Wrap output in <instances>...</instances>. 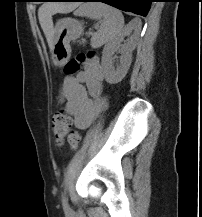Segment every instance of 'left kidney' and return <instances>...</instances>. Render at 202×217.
I'll return each mask as SVG.
<instances>
[{
	"label": "left kidney",
	"mask_w": 202,
	"mask_h": 217,
	"mask_svg": "<svg viewBox=\"0 0 202 217\" xmlns=\"http://www.w3.org/2000/svg\"><path fill=\"white\" fill-rule=\"evenodd\" d=\"M132 30H135V35L131 40L121 45L124 37L130 35ZM140 28L131 22L127 27L119 33L115 38L108 42L102 52V68L105 74V79L109 84H117L125 77L132 61V51L134 50L136 34ZM118 50H121L120 65L115 69L113 67V55Z\"/></svg>",
	"instance_id": "left-kidney-1"
}]
</instances>
